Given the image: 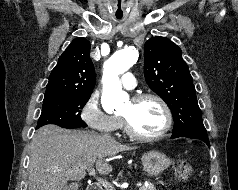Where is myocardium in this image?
I'll use <instances>...</instances> for the list:
<instances>
[{"instance_id": "f54148a6", "label": "myocardium", "mask_w": 238, "mask_h": 190, "mask_svg": "<svg viewBox=\"0 0 238 190\" xmlns=\"http://www.w3.org/2000/svg\"><path fill=\"white\" fill-rule=\"evenodd\" d=\"M154 100L156 101L160 107L162 108L165 116V124L163 128L156 134L153 135H144L137 132L131 125L129 119L124 116L120 115V120L125 132L132 138L139 140V141H156L163 138L171 129L173 124V116L170 107L165 102L163 98L159 95L154 93H138L131 97V101L133 103H138L144 100Z\"/></svg>"}]
</instances>
